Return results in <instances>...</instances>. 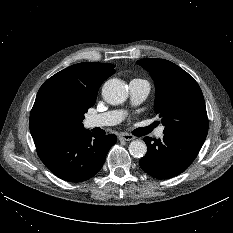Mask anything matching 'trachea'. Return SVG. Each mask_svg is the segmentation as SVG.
I'll return each instance as SVG.
<instances>
[{
    "label": "trachea",
    "instance_id": "trachea-1",
    "mask_svg": "<svg viewBox=\"0 0 233 233\" xmlns=\"http://www.w3.org/2000/svg\"><path fill=\"white\" fill-rule=\"evenodd\" d=\"M155 127H156V125H155V124H152V125H150V126H148V127H145V128L140 129L139 132H140L141 134H148V133L151 132Z\"/></svg>",
    "mask_w": 233,
    "mask_h": 233
}]
</instances>
